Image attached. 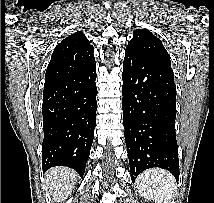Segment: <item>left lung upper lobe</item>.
I'll list each match as a JSON object with an SVG mask.
<instances>
[{"instance_id": "5c2ea615", "label": "left lung upper lobe", "mask_w": 214, "mask_h": 203, "mask_svg": "<svg viewBox=\"0 0 214 203\" xmlns=\"http://www.w3.org/2000/svg\"><path fill=\"white\" fill-rule=\"evenodd\" d=\"M125 51L133 52L171 67L169 54L162 41L147 29L134 30L133 38L128 42Z\"/></svg>"}]
</instances>
